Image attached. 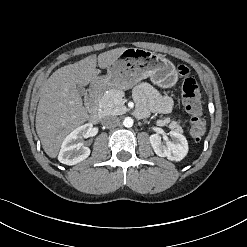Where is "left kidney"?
Returning a JSON list of instances; mask_svg holds the SVG:
<instances>
[{"label":"left kidney","instance_id":"left-kidney-1","mask_svg":"<svg viewBox=\"0 0 247 247\" xmlns=\"http://www.w3.org/2000/svg\"><path fill=\"white\" fill-rule=\"evenodd\" d=\"M171 140L167 139L165 144L161 142L159 134H152L149 139L154 152L160 157H167L171 161L182 160L188 152V143L184 135L171 131Z\"/></svg>","mask_w":247,"mask_h":247}]
</instances>
